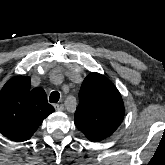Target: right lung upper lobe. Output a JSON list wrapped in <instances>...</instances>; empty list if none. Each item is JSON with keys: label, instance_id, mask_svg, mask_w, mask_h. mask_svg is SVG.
Instances as JSON below:
<instances>
[{"label": "right lung upper lobe", "instance_id": "cb5924a9", "mask_svg": "<svg viewBox=\"0 0 165 165\" xmlns=\"http://www.w3.org/2000/svg\"><path fill=\"white\" fill-rule=\"evenodd\" d=\"M31 78L17 76L0 91V132L21 142L31 138L43 120L55 111L42 88L30 90Z\"/></svg>", "mask_w": 165, "mask_h": 165}]
</instances>
